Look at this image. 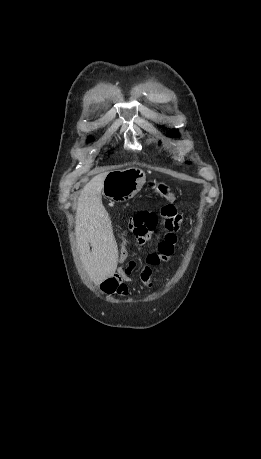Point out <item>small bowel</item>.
I'll list each match as a JSON object with an SVG mask.
<instances>
[{"label": "small bowel", "instance_id": "1", "mask_svg": "<svg viewBox=\"0 0 261 459\" xmlns=\"http://www.w3.org/2000/svg\"><path fill=\"white\" fill-rule=\"evenodd\" d=\"M130 230L133 232L132 229ZM134 235L140 246H145L149 241L155 239L154 231L145 234L134 233ZM176 242L177 237L167 238L164 233L163 238L157 241L156 250L147 255L146 263L140 268L138 273L139 279L145 287L151 288L153 285V267L159 265L161 262L170 261ZM134 266V263L130 262L128 267L119 268L116 273L107 277L101 284L103 292L111 296H127L129 294L128 283L132 281L130 274Z\"/></svg>", "mask_w": 261, "mask_h": 459}]
</instances>
